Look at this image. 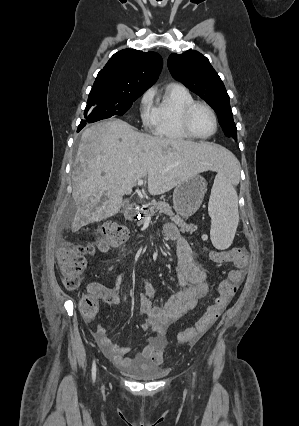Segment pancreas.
<instances>
[{"mask_svg":"<svg viewBox=\"0 0 299 426\" xmlns=\"http://www.w3.org/2000/svg\"><path fill=\"white\" fill-rule=\"evenodd\" d=\"M146 208H148V209L143 211L145 216H151V215H154L156 213L166 214V215L170 216V219L180 227V231L183 232V233L184 232L193 233L197 229V226H195L193 224H186L179 215H175L172 208L165 201L157 202V201L153 200V201H151L147 204ZM142 222H143V220L139 221L138 224H141Z\"/></svg>","mask_w":299,"mask_h":426,"instance_id":"pancreas-1","label":"pancreas"}]
</instances>
